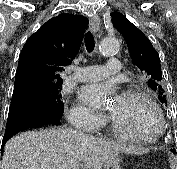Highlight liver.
<instances>
[{
	"instance_id": "liver-1",
	"label": "liver",
	"mask_w": 177,
	"mask_h": 169,
	"mask_svg": "<svg viewBox=\"0 0 177 169\" xmlns=\"http://www.w3.org/2000/svg\"><path fill=\"white\" fill-rule=\"evenodd\" d=\"M136 152L123 143L50 128L11 138L4 147L0 169H102L113 155Z\"/></svg>"
}]
</instances>
